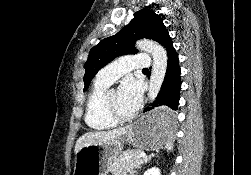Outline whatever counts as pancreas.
I'll list each match as a JSON object with an SVG mask.
<instances>
[{"label": "pancreas", "mask_w": 251, "mask_h": 175, "mask_svg": "<svg viewBox=\"0 0 251 175\" xmlns=\"http://www.w3.org/2000/svg\"><path fill=\"white\" fill-rule=\"evenodd\" d=\"M140 149H126L123 155L114 159L109 167L112 175H135L137 167H141L144 157H139Z\"/></svg>", "instance_id": "1"}]
</instances>
